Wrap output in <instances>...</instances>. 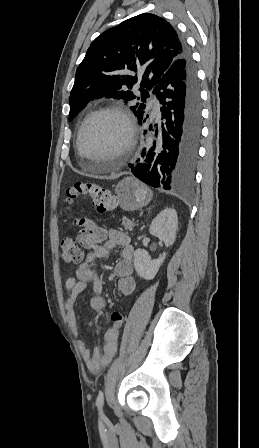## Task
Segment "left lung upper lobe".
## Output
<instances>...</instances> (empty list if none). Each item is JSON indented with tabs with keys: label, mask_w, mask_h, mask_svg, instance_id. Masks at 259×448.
<instances>
[{
	"label": "left lung upper lobe",
	"mask_w": 259,
	"mask_h": 448,
	"mask_svg": "<svg viewBox=\"0 0 259 448\" xmlns=\"http://www.w3.org/2000/svg\"><path fill=\"white\" fill-rule=\"evenodd\" d=\"M183 53L182 39L174 27L160 16L143 13L96 38L78 66L70 93L71 120L95 98L138 100L130 107L139 119L147 113V90ZM139 72L140 78L137 74ZM140 84V97L128 89Z\"/></svg>",
	"instance_id": "left-lung-upper-lobe-1"
}]
</instances>
